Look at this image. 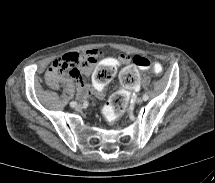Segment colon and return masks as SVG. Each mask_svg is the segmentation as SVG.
<instances>
[{
  "mask_svg": "<svg viewBox=\"0 0 215 183\" xmlns=\"http://www.w3.org/2000/svg\"><path fill=\"white\" fill-rule=\"evenodd\" d=\"M150 66V61L142 56H134L132 64L126 66L121 72V81L124 89L115 93L109 100L104 109V117L109 123H113L120 115H122L128 104L127 90L138 92L140 90V74L138 69H146ZM55 75L73 72L75 63L67 61H58L52 65ZM153 69L156 73H160L163 67L160 63H155ZM111 79V78H110Z\"/></svg>",
  "mask_w": 215,
  "mask_h": 183,
  "instance_id": "5ec220e1",
  "label": "colon"
}]
</instances>
